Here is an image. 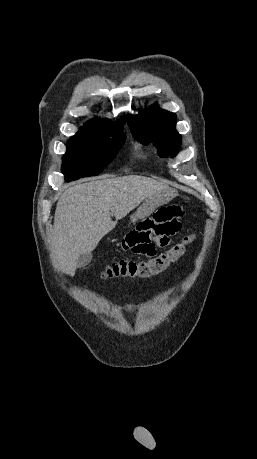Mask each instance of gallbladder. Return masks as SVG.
Listing matches in <instances>:
<instances>
[{
    "instance_id": "bac80fb5",
    "label": "gallbladder",
    "mask_w": 257,
    "mask_h": 459,
    "mask_svg": "<svg viewBox=\"0 0 257 459\" xmlns=\"http://www.w3.org/2000/svg\"><path fill=\"white\" fill-rule=\"evenodd\" d=\"M91 260H92L91 253L82 254L77 259V266L80 268H83L87 266L91 262Z\"/></svg>"
}]
</instances>
